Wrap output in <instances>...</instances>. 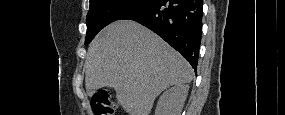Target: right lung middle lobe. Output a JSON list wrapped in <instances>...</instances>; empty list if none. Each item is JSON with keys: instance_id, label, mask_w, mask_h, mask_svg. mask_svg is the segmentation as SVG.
<instances>
[{"instance_id": "obj_1", "label": "right lung middle lobe", "mask_w": 285, "mask_h": 115, "mask_svg": "<svg viewBox=\"0 0 285 115\" xmlns=\"http://www.w3.org/2000/svg\"><path fill=\"white\" fill-rule=\"evenodd\" d=\"M152 0H90V8L86 18L87 45L96 34L113 21L146 5Z\"/></svg>"}]
</instances>
